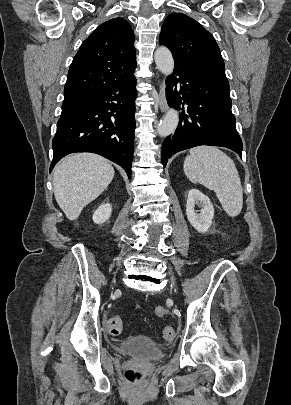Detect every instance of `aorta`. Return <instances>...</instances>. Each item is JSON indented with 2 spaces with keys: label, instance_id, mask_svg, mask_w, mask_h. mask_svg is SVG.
Listing matches in <instances>:
<instances>
[{
  "label": "aorta",
  "instance_id": "762f6f07",
  "mask_svg": "<svg viewBox=\"0 0 291 405\" xmlns=\"http://www.w3.org/2000/svg\"><path fill=\"white\" fill-rule=\"evenodd\" d=\"M154 59L160 72L166 76L172 74L174 69V60L170 50L167 47H159L155 51ZM178 122V112L173 108L169 109L157 127L159 136L166 137L172 134L177 128Z\"/></svg>",
  "mask_w": 291,
  "mask_h": 405
}]
</instances>
